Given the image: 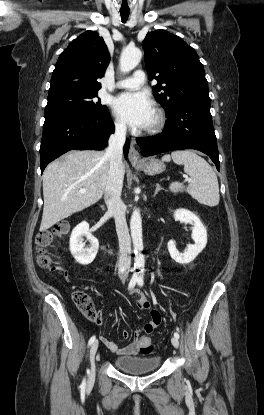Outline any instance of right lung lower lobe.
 I'll return each mask as SVG.
<instances>
[{"label": "right lung lower lobe", "instance_id": "obj_1", "mask_svg": "<svg viewBox=\"0 0 264 415\" xmlns=\"http://www.w3.org/2000/svg\"><path fill=\"white\" fill-rule=\"evenodd\" d=\"M114 123L109 111L95 115H61L46 118L40 146L41 173L54 159L69 150H102L107 146ZM130 142L124 146L125 158Z\"/></svg>", "mask_w": 264, "mask_h": 415}]
</instances>
